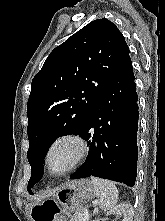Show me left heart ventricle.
<instances>
[{
  "label": "left heart ventricle",
  "mask_w": 165,
  "mask_h": 221,
  "mask_svg": "<svg viewBox=\"0 0 165 221\" xmlns=\"http://www.w3.org/2000/svg\"><path fill=\"white\" fill-rule=\"evenodd\" d=\"M77 147L73 142L64 141L57 144L49 156L50 167L53 171H63L74 161Z\"/></svg>",
  "instance_id": "left-heart-ventricle-1"
}]
</instances>
